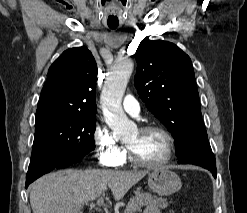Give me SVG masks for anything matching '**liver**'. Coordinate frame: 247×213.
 <instances>
[{
  "label": "liver",
  "mask_w": 247,
  "mask_h": 213,
  "mask_svg": "<svg viewBox=\"0 0 247 213\" xmlns=\"http://www.w3.org/2000/svg\"><path fill=\"white\" fill-rule=\"evenodd\" d=\"M146 174L101 169L53 172L31 185V208L33 213H82V206L104 194L107 187L118 201Z\"/></svg>",
  "instance_id": "6515ba94"
}]
</instances>
